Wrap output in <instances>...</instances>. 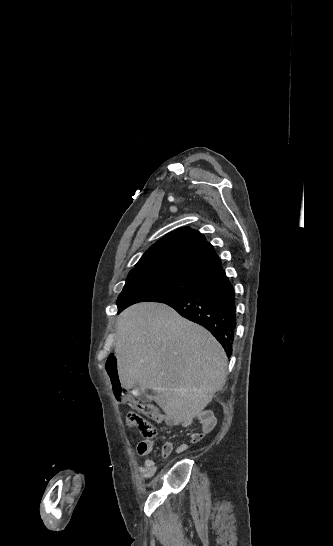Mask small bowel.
<instances>
[{
	"instance_id": "obj_1",
	"label": "small bowel",
	"mask_w": 333,
	"mask_h": 546,
	"mask_svg": "<svg viewBox=\"0 0 333 546\" xmlns=\"http://www.w3.org/2000/svg\"><path fill=\"white\" fill-rule=\"evenodd\" d=\"M152 418L158 422L165 420V416L157 410H156V414L153 415ZM202 419L204 422L207 423L205 430L210 429L215 423V419L213 417H202ZM168 420L170 423L177 424L176 421H173L171 419H168ZM205 430L193 429L190 434V440L194 443L199 442L203 438ZM155 446H156V442L154 440H143L139 442L137 445V453L141 456H147L154 450ZM174 446L175 445L173 442L165 443L162 447L161 457L162 458L168 457L173 451ZM187 448H188V445L186 443H181L175 447V450L177 453H182L186 451ZM156 470H157L156 459L146 458L144 460L143 465L140 467L139 471L144 479H150L155 474Z\"/></svg>"
}]
</instances>
